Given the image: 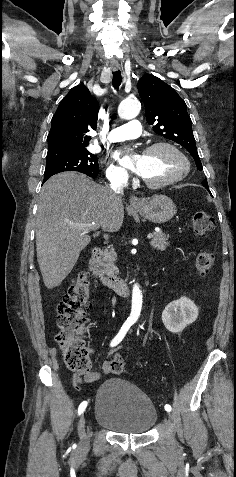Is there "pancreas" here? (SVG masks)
<instances>
[{
    "instance_id": "obj_1",
    "label": "pancreas",
    "mask_w": 236,
    "mask_h": 477,
    "mask_svg": "<svg viewBox=\"0 0 236 477\" xmlns=\"http://www.w3.org/2000/svg\"><path fill=\"white\" fill-rule=\"evenodd\" d=\"M154 238L151 241V245L157 250L164 251L169 245L167 242L169 236L165 235L162 231L154 232ZM116 260V253L113 248L106 249L101 260V272L107 274L110 277H114L118 273V268L114 265Z\"/></svg>"
}]
</instances>
